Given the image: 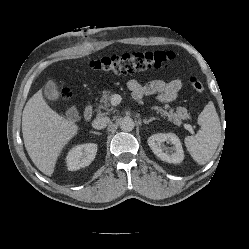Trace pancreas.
I'll return each instance as SVG.
<instances>
[{
    "mask_svg": "<svg viewBox=\"0 0 249 249\" xmlns=\"http://www.w3.org/2000/svg\"><path fill=\"white\" fill-rule=\"evenodd\" d=\"M110 100L111 92L103 91L99 108L109 110ZM152 109H154L161 116L167 117V119L175 125H180L183 120H187L190 118L187 109L184 107H177L176 111H174L173 109H170V106L168 104H165L163 107L154 106L152 107Z\"/></svg>",
    "mask_w": 249,
    "mask_h": 249,
    "instance_id": "obj_1",
    "label": "pancreas"
}]
</instances>
